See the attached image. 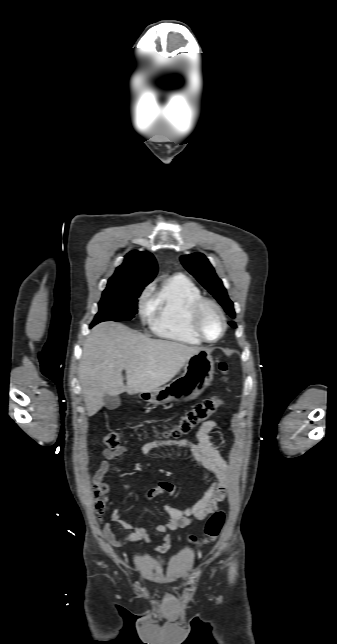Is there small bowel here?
<instances>
[{
  "label": "small bowel",
  "instance_id": "1",
  "mask_svg": "<svg viewBox=\"0 0 337 644\" xmlns=\"http://www.w3.org/2000/svg\"><path fill=\"white\" fill-rule=\"evenodd\" d=\"M217 426L215 420L204 422L196 433V441L179 440L174 443L153 440L145 443L141 447L143 455H149L157 449L168 450L171 444L186 447L190 450L193 459L200 469L211 475V483L203 496L190 507L179 509L169 505L163 507L164 512L168 515V521L165 524L156 526L155 530L161 533L160 540L157 541L154 551L157 553L165 552L171 543L170 533L180 528L190 526L194 521H202L209 514L214 513L218 505L226 497L228 463L220 455L218 450L212 445L209 439V433ZM128 451V447L120 445L115 449H105L103 451L104 459L96 471L95 478L102 481L107 473L111 471V461L121 457ZM125 489L132 490L130 485H125ZM176 486L168 481H160L153 488L140 492L147 500L153 499L160 495H173ZM111 521L120 524L128 530L124 537L118 536L112 528L111 523L105 524L103 536L114 546H122L125 541L139 543L142 541H153L149 530L145 526L133 525L122 519L120 511L115 509L111 515Z\"/></svg>",
  "mask_w": 337,
  "mask_h": 644
}]
</instances>
